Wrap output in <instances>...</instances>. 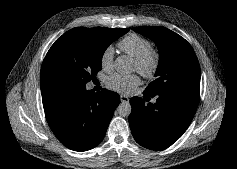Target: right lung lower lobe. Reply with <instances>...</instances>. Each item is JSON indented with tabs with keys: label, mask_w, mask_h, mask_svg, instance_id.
I'll use <instances>...</instances> for the list:
<instances>
[{
	"label": "right lung lower lobe",
	"mask_w": 237,
	"mask_h": 169,
	"mask_svg": "<svg viewBox=\"0 0 237 169\" xmlns=\"http://www.w3.org/2000/svg\"><path fill=\"white\" fill-rule=\"evenodd\" d=\"M47 122L69 149L87 151L103 139L113 112L120 103L117 93L103 89L98 95L85 86L50 84L41 87Z\"/></svg>",
	"instance_id": "98d812e1"
}]
</instances>
